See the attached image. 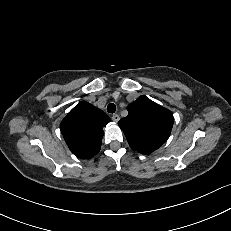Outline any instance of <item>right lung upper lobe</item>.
I'll return each mask as SVG.
<instances>
[{
  "mask_svg": "<svg viewBox=\"0 0 231 231\" xmlns=\"http://www.w3.org/2000/svg\"><path fill=\"white\" fill-rule=\"evenodd\" d=\"M109 121L102 110L82 101L62 120L60 129L71 152L78 158L88 159L99 152L103 127Z\"/></svg>",
  "mask_w": 231,
  "mask_h": 231,
  "instance_id": "obj_1",
  "label": "right lung upper lobe"
}]
</instances>
